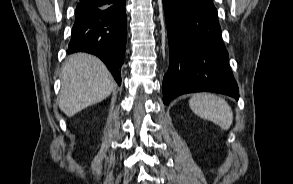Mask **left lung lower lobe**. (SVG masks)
I'll return each mask as SVG.
<instances>
[{
  "label": "left lung lower lobe",
  "mask_w": 293,
  "mask_h": 184,
  "mask_svg": "<svg viewBox=\"0 0 293 184\" xmlns=\"http://www.w3.org/2000/svg\"><path fill=\"white\" fill-rule=\"evenodd\" d=\"M170 65L163 79V102L178 95L210 91L239 98L221 38L213 0H163Z\"/></svg>",
  "instance_id": "obj_1"
}]
</instances>
